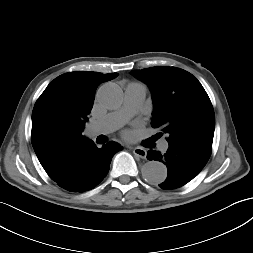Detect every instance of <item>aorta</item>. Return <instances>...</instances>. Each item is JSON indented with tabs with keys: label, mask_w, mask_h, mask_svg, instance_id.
Returning a JSON list of instances; mask_svg holds the SVG:
<instances>
[{
	"label": "aorta",
	"mask_w": 253,
	"mask_h": 253,
	"mask_svg": "<svg viewBox=\"0 0 253 253\" xmlns=\"http://www.w3.org/2000/svg\"><path fill=\"white\" fill-rule=\"evenodd\" d=\"M98 103L106 109H116L123 101L121 88L114 83L102 85L97 91ZM142 176L150 184H160L167 178V168L159 161H148L142 167Z\"/></svg>",
	"instance_id": "aorta-1"
}]
</instances>
